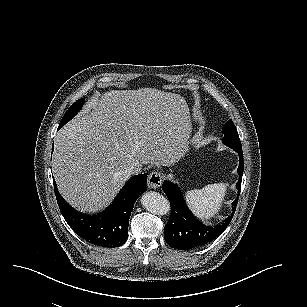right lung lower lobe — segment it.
I'll list each match as a JSON object with an SVG mask.
<instances>
[{
	"label": "right lung lower lobe",
	"instance_id": "1",
	"mask_svg": "<svg viewBox=\"0 0 307 307\" xmlns=\"http://www.w3.org/2000/svg\"><path fill=\"white\" fill-rule=\"evenodd\" d=\"M147 174L126 182L112 204L102 213L89 216L77 212L60 195L55 181V195L67 224L88 243L100 247H118L128 239V224L137 197L146 190ZM54 180V179H53Z\"/></svg>",
	"mask_w": 307,
	"mask_h": 307
}]
</instances>
